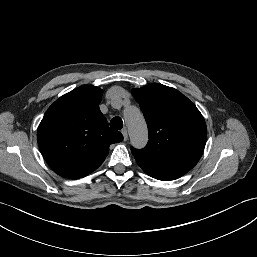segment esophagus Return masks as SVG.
Segmentation results:
<instances>
[{
	"label": "esophagus",
	"mask_w": 257,
	"mask_h": 257,
	"mask_svg": "<svg viewBox=\"0 0 257 257\" xmlns=\"http://www.w3.org/2000/svg\"><path fill=\"white\" fill-rule=\"evenodd\" d=\"M121 133H122V135H123V140H124V141H127V139H128L127 130H126V129H123V130L121 131Z\"/></svg>",
	"instance_id": "34e87169"
}]
</instances>
